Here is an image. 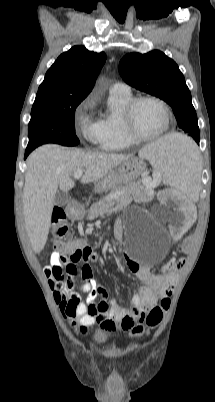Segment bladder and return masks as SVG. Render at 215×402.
I'll use <instances>...</instances> for the list:
<instances>
[{
	"instance_id": "1",
	"label": "bladder",
	"mask_w": 215,
	"mask_h": 402,
	"mask_svg": "<svg viewBox=\"0 0 215 402\" xmlns=\"http://www.w3.org/2000/svg\"><path fill=\"white\" fill-rule=\"evenodd\" d=\"M108 340H109V336L104 332H98L94 336V342L99 345L105 344Z\"/></svg>"
}]
</instances>
